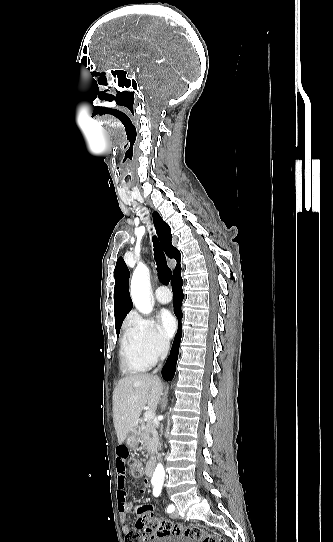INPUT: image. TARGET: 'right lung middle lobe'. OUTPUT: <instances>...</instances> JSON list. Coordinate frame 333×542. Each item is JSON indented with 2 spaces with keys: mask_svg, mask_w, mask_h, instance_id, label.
Returning <instances> with one entry per match:
<instances>
[{
  "mask_svg": "<svg viewBox=\"0 0 333 542\" xmlns=\"http://www.w3.org/2000/svg\"><path fill=\"white\" fill-rule=\"evenodd\" d=\"M120 327L116 328L117 335H119Z\"/></svg>",
  "mask_w": 333,
  "mask_h": 542,
  "instance_id": "obj_1",
  "label": "right lung middle lobe"
}]
</instances>
